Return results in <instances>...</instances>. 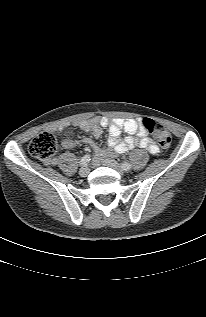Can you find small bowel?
I'll return each instance as SVG.
<instances>
[{"label": "small bowel", "mask_w": 206, "mask_h": 317, "mask_svg": "<svg viewBox=\"0 0 206 317\" xmlns=\"http://www.w3.org/2000/svg\"><path fill=\"white\" fill-rule=\"evenodd\" d=\"M75 125L82 131L90 132L95 139L102 135L103 127L108 128V149L99 148L90 138L82 140L94 148L96 152L95 162H99L103 157L122 154L133 148H144L152 154H156L159 151L156 143L148 137L140 119L96 117L91 120L80 121ZM60 130L59 128L58 131ZM122 131L128 134L124 139H121ZM62 146L66 149H71L74 147V141L71 138H66L62 141ZM50 164H57V160H52Z\"/></svg>", "instance_id": "obj_1"}]
</instances>
